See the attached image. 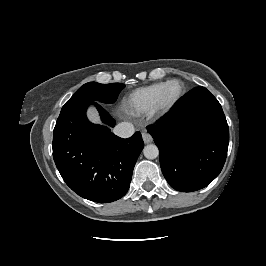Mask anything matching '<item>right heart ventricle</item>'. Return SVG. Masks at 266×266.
Masks as SVG:
<instances>
[{"instance_id":"right-heart-ventricle-1","label":"right heart ventricle","mask_w":266,"mask_h":266,"mask_svg":"<svg viewBox=\"0 0 266 266\" xmlns=\"http://www.w3.org/2000/svg\"><path fill=\"white\" fill-rule=\"evenodd\" d=\"M164 84L165 82H160L136 89L123 102V108L133 115H146L154 112Z\"/></svg>"}]
</instances>
